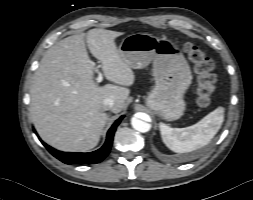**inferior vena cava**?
I'll return each mask as SVG.
<instances>
[{"instance_id": "602c4592", "label": "inferior vena cava", "mask_w": 253, "mask_h": 200, "mask_svg": "<svg viewBox=\"0 0 253 200\" xmlns=\"http://www.w3.org/2000/svg\"><path fill=\"white\" fill-rule=\"evenodd\" d=\"M115 102L112 98H106L103 100V109L111 110L114 106Z\"/></svg>"}]
</instances>
